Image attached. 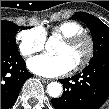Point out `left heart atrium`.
I'll return each instance as SVG.
<instances>
[{"mask_svg":"<svg viewBox=\"0 0 109 109\" xmlns=\"http://www.w3.org/2000/svg\"><path fill=\"white\" fill-rule=\"evenodd\" d=\"M28 67L38 75L54 78L69 73L74 66L65 55L43 54L31 58Z\"/></svg>","mask_w":109,"mask_h":109,"instance_id":"left-heart-atrium-1","label":"left heart atrium"}]
</instances>
